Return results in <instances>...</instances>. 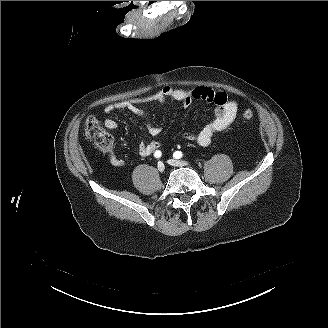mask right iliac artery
<instances>
[{"mask_svg":"<svg viewBox=\"0 0 328 328\" xmlns=\"http://www.w3.org/2000/svg\"><path fill=\"white\" fill-rule=\"evenodd\" d=\"M154 156H155L156 158H159V157L161 156V152L157 150V151L154 153Z\"/></svg>","mask_w":328,"mask_h":328,"instance_id":"1","label":"right iliac artery"}]
</instances>
